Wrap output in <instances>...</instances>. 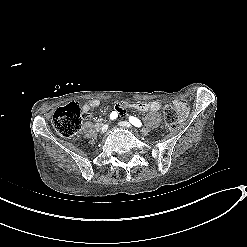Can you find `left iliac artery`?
I'll use <instances>...</instances> for the list:
<instances>
[{
    "label": "left iliac artery",
    "instance_id": "1",
    "mask_svg": "<svg viewBox=\"0 0 247 247\" xmlns=\"http://www.w3.org/2000/svg\"><path fill=\"white\" fill-rule=\"evenodd\" d=\"M129 121H130V123H132L136 127H141L142 126L141 121L139 119H137L136 117L130 116L129 117Z\"/></svg>",
    "mask_w": 247,
    "mask_h": 247
}]
</instances>
